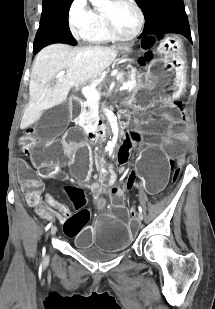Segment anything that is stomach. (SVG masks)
Returning a JSON list of instances; mask_svg holds the SVG:
<instances>
[{
	"label": "stomach",
	"instance_id": "obj_1",
	"mask_svg": "<svg viewBox=\"0 0 215 309\" xmlns=\"http://www.w3.org/2000/svg\"><path fill=\"white\" fill-rule=\"evenodd\" d=\"M119 51L128 54L132 45L122 46ZM157 53L160 57L150 63L144 74L139 75L137 85L132 89L131 100L135 103L173 100L179 97L186 85L181 40L174 36L164 37Z\"/></svg>",
	"mask_w": 215,
	"mask_h": 309
}]
</instances>
